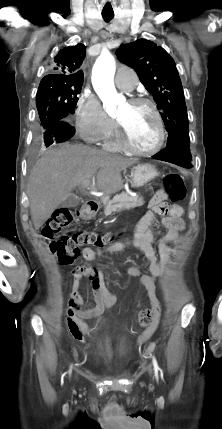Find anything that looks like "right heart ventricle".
<instances>
[{"mask_svg":"<svg viewBox=\"0 0 222 429\" xmlns=\"http://www.w3.org/2000/svg\"><path fill=\"white\" fill-rule=\"evenodd\" d=\"M104 147L108 150H112V151H117L120 150L122 148V145L119 141L118 135H115L113 138L108 139L105 144Z\"/></svg>","mask_w":222,"mask_h":429,"instance_id":"1","label":"right heart ventricle"}]
</instances>
